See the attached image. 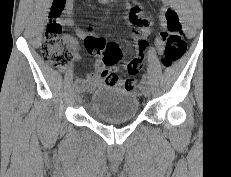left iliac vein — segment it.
Masks as SVG:
<instances>
[{
	"label": "left iliac vein",
	"mask_w": 231,
	"mask_h": 177,
	"mask_svg": "<svg viewBox=\"0 0 231 177\" xmlns=\"http://www.w3.org/2000/svg\"><path fill=\"white\" fill-rule=\"evenodd\" d=\"M143 94H144L146 97H149L150 94H151V87H150V85L148 84V82H144Z\"/></svg>",
	"instance_id": "obj_1"
}]
</instances>
